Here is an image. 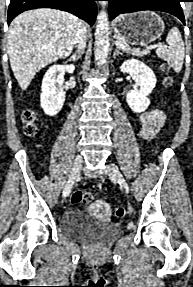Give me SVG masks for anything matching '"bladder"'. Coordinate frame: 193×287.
<instances>
[{
  "instance_id": "31cf9c89",
  "label": "bladder",
  "mask_w": 193,
  "mask_h": 287,
  "mask_svg": "<svg viewBox=\"0 0 193 287\" xmlns=\"http://www.w3.org/2000/svg\"><path fill=\"white\" fill-rule=\"evenodd\" d=\"M60 231L74 240L99 243L118 236L121 227L111 221H101L100 217L85 215V210L71 209L63 214Z\"/></svg>"
}]
</instances>
